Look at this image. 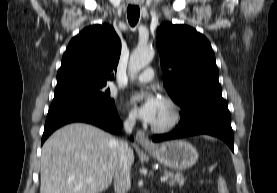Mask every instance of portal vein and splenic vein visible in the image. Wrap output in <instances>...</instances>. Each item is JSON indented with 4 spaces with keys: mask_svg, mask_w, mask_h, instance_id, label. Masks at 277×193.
Returning <instances> with one entry per match:
<instances>
[{
    "mask_svg": "<svg viewBox=\"0 0 277 193\" xmlns=\"http://www.w3.org/2000/svg\"><path fill=\"white\" fill-rule=\"evenodd\" d=\"M160 180H161V182H165V181L168 180V177H167V176H162V177L160 178Z\"/></svg>",
    "mask_w": 277,
    "mask_h": 193,
    "instance_id": "1",
    "label": "portal vein and splenic vein"
}]
</instances>
